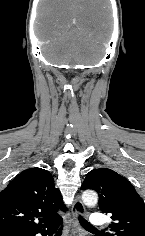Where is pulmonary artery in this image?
Returning <instances> with one entry per match:
<instances>
[{"instance_id": "1", "label": "pulmonary artery", "mask_w": 145, "mask_h": 236, "mask_svg": "<svg viewBox=\"0 0 145 236\" xmlns=\"http://www.w3.org/2000/svg\"><path fill=\"white\" fill-rule=\"evenodd\" d=\"M106 217L101 213H95L90 216V224L93 227H101L106 224Z\"/></svg>"}]
</instances>
